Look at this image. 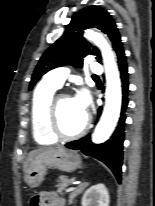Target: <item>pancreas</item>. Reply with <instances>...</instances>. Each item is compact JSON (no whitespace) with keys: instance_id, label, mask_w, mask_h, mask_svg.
I'll return each instance as SVG.
<instances>
[{"instance_id":"1","label":"pancreas","mask_w":155,"mask_h":206,"mask_svg":"<svg viewBox=\"0 0 155 206\" xmlns=\"http://www.w3.org/2000/svg\"><path fill=\"white\" fill-rule=\"evenodd\" d=\"M73 181L74 179H70L68 176L61 175L57 180L58 184L56 185V187L59 189V191L64 190L69 185H71Z\"/></svg>"}]
</instances>
